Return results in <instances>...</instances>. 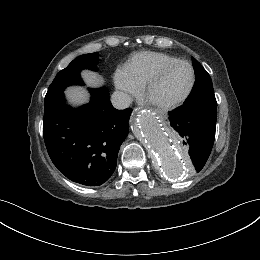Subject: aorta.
Returning a JSON list of instances; mask_svg holds the SVG:
<instances>
[{
  "label": "aorta",
  "mask_w": 260,
  "mask_h": 260,
  "mask_svg": "<svg viewBox=\"0 0 260 260\" xmlns=\"http://www.w3.org/2000/svg\"><path fill=\"white\" fill-rule=\"evenodd\" d=\"M132 130L167 177L175 179L188 172L190 167L179 149L178 138L153 113L140 112L133 120Z\"/></svg>",
  "instance_id": "1"
}]
</instances>
